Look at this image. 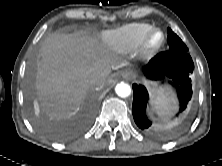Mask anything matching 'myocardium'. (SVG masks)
<instances>
[{
  "label": "myocardium",
  "instance_id": "1",
  "mask_svg": "<svg viewBox=\"0 0 222 166\" xmlns=\"http://www.w3.org/2000/svg\"><path fill=\"white\" fill-rule=\"evenodd\" d=\"M155 34H159L160 38L157 42H152ZM165 43V33L158 27H151L143 36L139 46L137 47L138 55L141 58H150L156 55Z\"/></svg>",
  "mask_w": 222,
  "mask_h": 166
}]
</instances>
